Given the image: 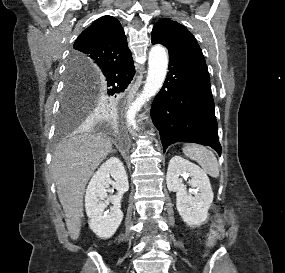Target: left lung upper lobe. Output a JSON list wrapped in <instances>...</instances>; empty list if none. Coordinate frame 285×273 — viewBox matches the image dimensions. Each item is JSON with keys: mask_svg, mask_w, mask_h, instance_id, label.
<instances>
[{"mask_svg": "<svg viewBox=\"0 0 285 273\" xmlns=\"http://www.w3.org/2000/svg\"><path fill=\"white\" fill-rule=\"evenodd\" d=\"M152 39L206 65L203 53L195 37L186 27L178 22L172 21L169 18L161 19L153 28L151 40Z\"/></svg>", "mask_w": 285, "mask_h": 273, "instance_id": "left-lung-upper-lobe-1", "label": "left lung upper lobe"}]
</instances>
